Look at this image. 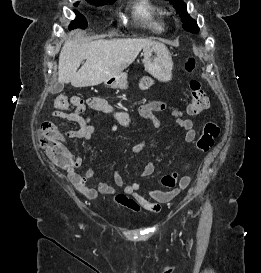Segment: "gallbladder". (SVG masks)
Segmentation results:
<instances>
[{
	"mask_svg": "<svg viewBox=\"0 0 261 273\" xmlns=\"http://www.w3.org/2000/svg\"><path fill=\"white\" fill-rule=\"evenodd\" d=\"M63 89H64V83L57 82V83L54 85L53 89H52V93H53V94L60 93Z\"/></svg>",
	"mask_w": 261,
	"mask_h": 273,
	"instance_id": "obj_1",
	"label": "gallbladder"
}]
</instances>
